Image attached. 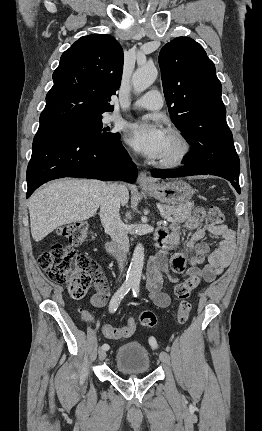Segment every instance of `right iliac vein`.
Segmentation results:
<instances>
[{
  "label": "right iliac vein",
  "instance_id": "1",
  "mask_svg": "<svg viewBox=\"0 0 262 431\" xmlns=\"http://www.w3.org/2000/svg\"><path fill=\"white\" fill-rule=\"evenodd\" d=\"M98 355H99V359L101 361H103L106 358V351L104 349L100 348L99 352H98Z\"/></svg>",
  "mask_w": 262,
  "mask_h": 431
}]
</instances>
